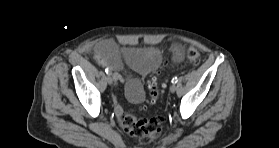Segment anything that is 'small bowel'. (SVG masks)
<instances>
[{
  "instance_id": "obj_1",
  "label": "small bowel",
  "mask_w": 279,
  "mask_h": 148,
  "mask_svg": "<svg viewBox=\"0 0 279 148\" xmlns=\"http://www.w3.org/2000/svg\"><path fill=\"white\" fill-rule=\"evenodd\" d=\"M173 61L181 62L184 58L183 48L180 44L174 43L171 46ZM96 60L110 71L114 72L116 82L125 84V94L132 103H140L144 99L142 83L138 78L125 76L122 71V63L136 71L141 76H147L156 69L161 60L162 54L157 48L119 50L115 42L109 39L99 41L95 46ZM115 114L119 118L124 113V108L116 94L113 95Z\"/></svg>"
}]
</instances>
